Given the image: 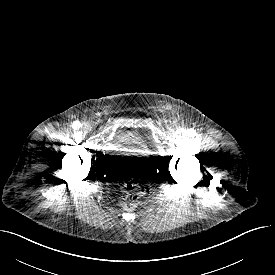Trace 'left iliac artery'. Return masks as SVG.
<instances>
[{"instance_id": "obj_1", "label": "left iliac artery", "mask_w": 275, "mask_h": 275, "mask_svg": "<svg viewBox=\"0 0 275 275\" xmlns=\"http://www.w3.org/2000/svg\"><path fill=\"white\" fill-rule=\"evenodd\" d=\"M189 135L194 136V135H196V132L191 129V130H189Z\"/></svg>"}]
</instances>
